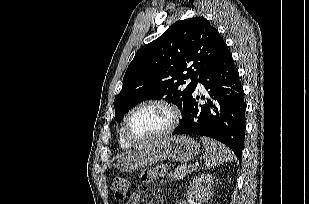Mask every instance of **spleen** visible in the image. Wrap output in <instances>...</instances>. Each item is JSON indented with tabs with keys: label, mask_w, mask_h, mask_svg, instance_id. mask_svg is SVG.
<instances>
[{
	"label": "spleen",
	"mask_w": 309,
	"mask_h": 204,
	"mask_svg": "<svg viewBox=\"0 0 309 204\" xmlns=\"http://www.w3.org/2000/svg\"><path fill=\"white\" fill-rule=\"evenodd\" d=\"M201 140L205 148L204 160L207 168L234 160V154L225 145L206 137H202Z\"/></svg>",
	"instance_id": "spleen-1"
}]
</instances>
